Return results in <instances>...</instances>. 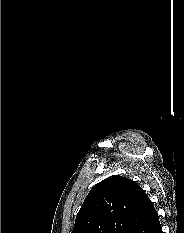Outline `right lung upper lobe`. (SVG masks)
I'll list each match as a JSON object with an SVG mask.
<instances>
[{
    "instance_id": "1",
    "label": "right lung upper lobe",
    "mask_w": 184,
    "mask_h": 233,
    "mask_svg": "<svg viewBox=\"0 0 184 233\" xmlns=\"http://www.w3.org/2000/svg\"><path fill=\"white\" fill-rule=\"evenodd\" d=\"M154 210L136 182L113 175L90 190L77 213L72 233H130Z\"/></svg>"
}]
</instances>
